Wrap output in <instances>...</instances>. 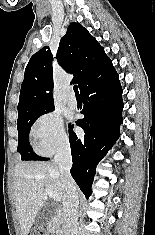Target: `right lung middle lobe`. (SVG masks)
<instances>
[{
  "instance_id": "right-lung-middle-lobe-1",
  "label": "right lung middle lobe",
  "mask_w": 155,
  "mask_h": 235,
  "mask_svg": "<svg viewBox=\"0 0 155 235\" xmlns=\"http://www.w3.org/2000/svg\"><path fill=\"white\" fill-rule=\"evenodd\" d=\"M53 110V109H52ZM52 110L41 111V112H30L18 116L17 129H18V148L17 152L21 154L22 160H45L37 156L29 145L28 135L30 128L36 119Z\"/></svg>"
}]
</instances>
